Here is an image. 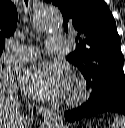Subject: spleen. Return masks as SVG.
Listing matches in <instances>:
<instances>
[{
    "label": "spleen",
    "instance_id": "3e777b00",
    "mask_svg": "<svg viewBox=\"0 0 125 128\" xmlns=\"http://www.w3.org/2000/svg\"><path fill=\"white\" fill-rule=\"evenodd\" d=\"M112 128H125V117L124 116H117L114 119L112 124Z\"/></svg>",
    "mask_w": 125,
    "mask_h": 128
}]
</instances>
